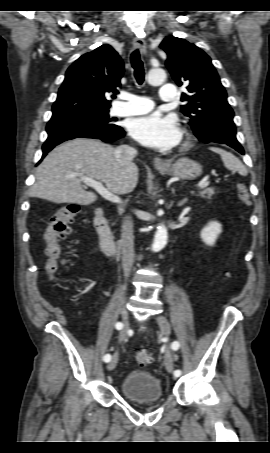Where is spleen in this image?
Wrapping results in <instances>:
<instances>
[{
	"instance_id": "obj_1",
	"label": "spleen",
	"mask_w": 270,
	"mask_h": 453,
	"mask_svg": "<svg viewBox=\"0 0 270 453\" xmlns=\"http://www.w3.org/2000/svg\"><path fill=\"white\" fill-rule=\"evenodd\" d=\"M211 150L221 156L224 166L228 170H235L242 176L247 175V169L245 168V166L232 153L227 152L221 148H215V147L211 148Z\"/></svg>"
}]
</instances>
